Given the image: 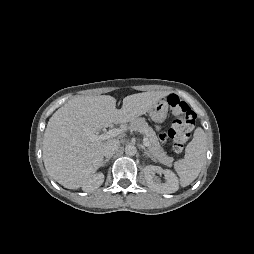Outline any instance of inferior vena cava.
Instances as JSON below:
<instances>
[{
    "mask_svg": "<svg viewBox=\"0 0 254 254\" xmlns=\"http://www.w3.org/2000/svg\"><path fill=\"white\" fill-rule=\"evenodd\" d=\"M119 148V142L117 140H109L105 143L102 153L106 158L112 157Z\"/></svg>",
    "mask_w": 254,
    "mask_h": 254,
    "instance_id": "602c4592",
    "label": "inferior vena cava"
}]
</instances>
